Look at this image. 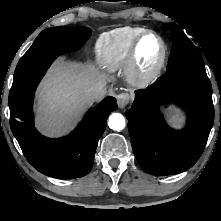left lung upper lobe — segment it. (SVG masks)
Listing matches in <instances>:
<instances>
[{"mask_svg":"<svg viewBox=\"0 0 221 221\" xmlns=\"http://www.w3.org/2000/svg\"><path fill=\"white\" fill-rule=\"evenodd\" d=\"M173 36V45L168 60L167 72L186 70L199 74H206L204 61L192 43L184 34L183 30L176 24L164 26Z\"/></svg>","mask_w":221,"mask_h":221,"instance_id":"obj_1","label":"left lung upper lobe"}]
</instances>
